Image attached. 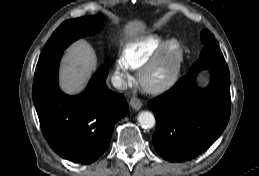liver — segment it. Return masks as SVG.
<instances>
[{"mask_svg":"<svg viewBox=\"0 0 259 176\" xmlns=\"http://www.w3.org/2000/svg\"><path fill=\"white\" fill-rule=\"evenodd\" d=\"M144 31L145 26L141 21H131L126 26V33L129 36H135ZM96 65V55L89 43L84 40L73 43L66 50L60 69L62 90L68 94L83 90Z\"/></svg>","mask_w":259,"mask_h":176,"instance_id":"1","label":"liver"}]
</instances>
